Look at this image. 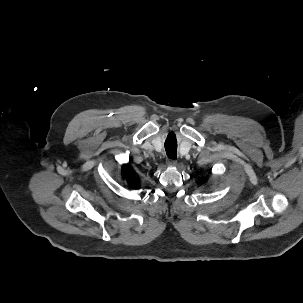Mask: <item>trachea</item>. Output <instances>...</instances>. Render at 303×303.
<instances>
[{
    "label": "trachea",
    "instance_id": "3493384b",
    "mask_svg": "<svg viewBox=\"0 0 303 303\" xmlns=\"http://www.w3.org/2000/svg\"><path fill=\"white\" fill-rule=\"evenodd\" d=\"M165 150L170 159L177 157V141L176 138L169 135L165 141Z\"/></svg>",
    "mask_w": 303,
    "mask_h": 303
}]
</instances>
